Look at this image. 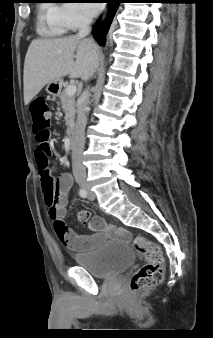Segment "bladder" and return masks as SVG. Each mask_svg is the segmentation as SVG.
Instances as JSON below:
<instances>
[{"mask_svg":"<svg viewBox=\"0 0 213 338\" xmlns=\"http://www.w3.org/2000/svg\"><path fill=\"white\" fill-rule=\"evenodd\" d=\"M135 254L127 243H105L91 252L75 256L77 266L96 279H110L133 264Z\"/></svg>","mask_w":213,"mask_h":338,"instance_id":"1","label":"bladder"}]
</instances>
